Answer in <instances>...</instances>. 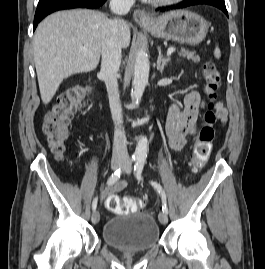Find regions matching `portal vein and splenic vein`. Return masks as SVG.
<instances>
[{"label": "portal vein and splenic vein", "mask_w": 265, "mask_h": 269, "mask_svg": "<svg viewBox=\"0 0 265 269\" xmlns=\"http://www.w3.org/2000/svg\"><path fill=\"white\" fill-rule=\"evenodd\" d=\"M83 51L86 52V50H83ZM174 51H175V48H174V47H170V48H168V50H167V54H168V55H171Z\"/></svg>", "instance_id": "obj_1"}]
</instances>
